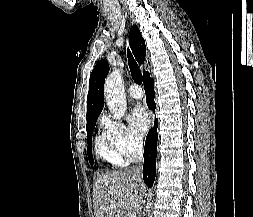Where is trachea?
<instances>
[{
  "label": "trachea",
  "instance_id": "1",
  "mask_svg": "<svg viewBox=\"0 0 253 217\" xmlns=\"http://www.w3.org/2000/svg\"><path fill=\"white\" fill-rule=\"evenodd\" d=\"M127 54H128V63H129V68L131 71L132 78L134 79L136 83L142 84L143 77H142L141 71L129 49L127 51Z\"/></svg>",
  "mask_w": 253,
  "mask_h": 217
}]
</instances>
